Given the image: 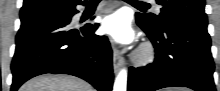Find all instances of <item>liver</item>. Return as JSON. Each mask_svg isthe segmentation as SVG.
Listing matches in <instances>:
<instances>
[{
	"instance_id": "1",
	"label": "liver",
	"mask_w": 220,
	"mask_h": 91,
	"mask_svg": "<svg viewBox=\"0 0 220 91\" xmlns=\"http://www.w3.org/2000/svg\"><path fill=\"white\" fill-rule=\"evenodd\" d=\"M19 91H95L94 88L77 77L58 74L40 75L32 78Z\"/></svg>"
}]
</instances>
